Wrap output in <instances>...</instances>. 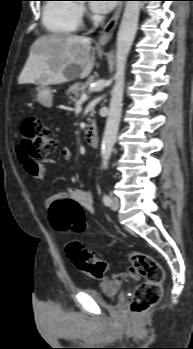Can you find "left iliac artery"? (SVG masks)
<instances>
[{
	"mask_svg": "<svg viewBox=\"0 0 193 349\" xmlns=\"http://www.w3.org/2000/svg\"><path fill=\"white\" fill-rule=\"evenodd\" d=\"M103 203L106 205V206H109L111 204V198L107 195V194H104L103 195Z\"/></svg>",
	"mask_w": 193,
	"mask_h": 349,
	"instance_id": "44dca946",
	"label": "left iliac artery"
}]
</instances>
